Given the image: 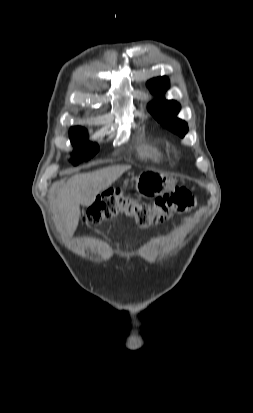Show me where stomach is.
I'll use <instances>...</instances> for the list:
<instances>
[{
  "mask_svg": "<svg viewBox=\"0 0 253 413\" xmlns=\"http://www.w3.org/2000/svg\"><path fill=\"white\" fill-rule=\"evenodd\" d=\"M175 188L173 178L151 171L141 172L135 179V189L142 197L163 195Z\"/></svg>",
  "mask_w": 253,
  "mask_h": 413,
  "instance_id": "0dacf381",
  "label": "stomach"
}]
</instances>
